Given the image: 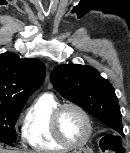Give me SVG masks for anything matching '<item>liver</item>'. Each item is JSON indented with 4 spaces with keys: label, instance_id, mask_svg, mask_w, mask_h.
Wrapping results in <instances>:
<instances>
[{
    "label": "liver",
    "instance_id": "6515ba94",
    "mask_svg": "<svg viewBox=\"0 0 130 153\" xmlns=\"http://www.w3.org/2000/svg\"><path fill=\"white\" fill-rule=\"evenodd\" d=\"M0 153H18V152L10 151V150H5L2 147H0ZM29 153H33V152H29Z\"/></svg>",
    "mask_w": 130,
    "mask_h": 153
}]
</instances>
